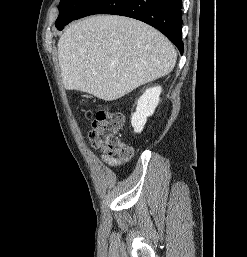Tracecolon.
<instances>
[{"label": "colon", "mask_w": 247, "mask_h": 257, "mask_svg": "<svg viewBox=\"0 0 247 257\" xmlns=\"http://www.w3.org/2000/svg\"><path fill=\"white\" fill-rule=\"evenodd\" d=\"M123 123L124 117L120 112L110 108L97 110L89 133L92 146L108 156L129 159L132 156V149L119 137Z\"/></svg>", "instance_id": "5ec220e1"}]
</instances>
